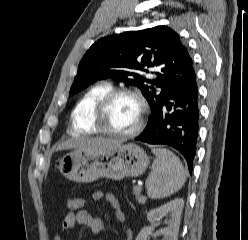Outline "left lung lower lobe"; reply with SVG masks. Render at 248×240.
I'll return each mask as SVG.
<instances>
[{"instance_id": "0a47b994", "label": "left lung lower lobe", "mask_w": 248, "mask_h": 240, "mask_svg": "<svg viewBox=\"0 0 248 240\" xmlns=\"http://www.w3.org/2000/svg\"><path fill=\"white\" fill-rule=\"evenodd\" d=\"M199 103L196 74L175 88L163 106L150 118L142 134L135 140L149 144H165L178 150L192 172L199 133Z\"/></svg>"}]
</instances>
